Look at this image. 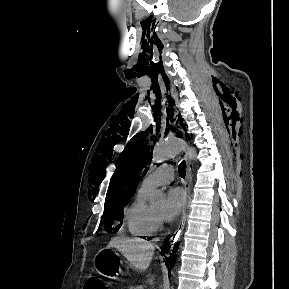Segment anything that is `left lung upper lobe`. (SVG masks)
<instances>
[{
  "mask_svg": "<svg viewBox=\"0 0 289 289\" xmlns=\"http://www.w3.org/2000/svg\"><path fill=\"white\" fill-rule=\"evenodd\" d=\"M145 145L142 141H136L126 146L120 154L113 176L114 181L111 182V188L107 192L102 218L105 229L108 231L114 230V228L111 229L113 221L122 220V210L128 204L138 183H136L137 173L140 172L142 165L146 166L149 148Z\"/></svg>",
  "mask_w": 289,
  "mask_h": 289,
  "instance_id": "left-lung-upper-lobe-1",
  "label": "left lung upper lobe"
}]
</instances>
